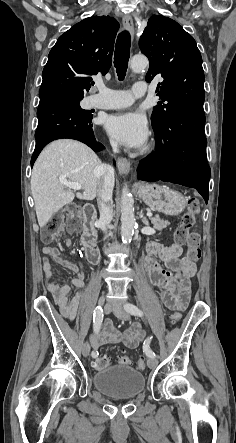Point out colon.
Listing matches in <instances>:
<instances>
[{
    "label": "colon",
    "instance_id": "obj_1",
    "mask_svg": "<svg viewBox=\"0 0 236 443\" xmlns=\"http://www.w3.org/2000/svg\"><path fill=\"white\" fill-rule=\"evenodd\" d=\"M200 206L196 198H190L187 204V210L182 216L180 225L177 227L174 238L179 245L187 246V256L192 262H197L201 258L200 249V235L198 233H191L190 229L194 226L197 215L199 214ZM81 212L76 206H70L65 212L54 216L41 230V240L44 243H52L58 240L66 225L70 231H77L81 226ZM181 318L179 312H174L170 315L172 324L177 323ZM128 365L131 363L130 357L127 355L119 356L117 358L100 356L97 357L93 366L96 369L107 368L114 363ZM139 370L146 368V360L140 359L137 364Z\"/></svg>",
    "mask_w": 236,
    "mask_h": 443
}]
</instances>
